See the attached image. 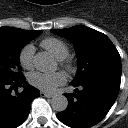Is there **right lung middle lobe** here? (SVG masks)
I'll return each instance as SVG.
<instances>
[{
	"label": "right lung middle lobe",
	"instance_id": "1",
	"mask_svg": "<svg viewBox=\"0 0 128 128\" xmlns=\"http://www.w3.org/2000/svg\"><path fill=\"white\" fill-rule=\"evenodd\" d=\"M40 33V30L33 32L12 29L0 31V80L10 81L22 77L18 72L21 69L19 66L20 51Z\"/></svg>",
	"mask_w": 128,
	"mask_h": 128
}]
</instances>
